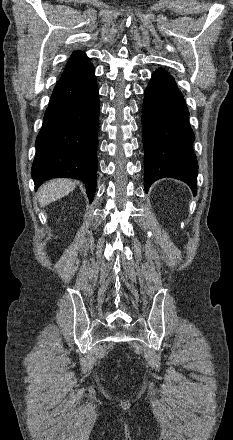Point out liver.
I'll use <instances>...</instances> for the list:
<instances>
[{
	"label": "liver",
	"instance_id": "liver-1",
	"mask_svg": "<svg viewBox=\"0 0 233 440\" xmlns=\"http://www.w3.org/2000/svg\"><path fill=\"white\" fill-rule=\"evenodd\" d=\"M77 182L71 179H52L38 190V201L41 207L68 195L76 187Z\"/></svg>",
	"mask_w": 233,
	"mask_h": 440
}]
</instances>
